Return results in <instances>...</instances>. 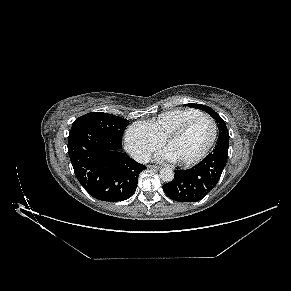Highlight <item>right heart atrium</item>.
I'll list each match as a JSON object with an SVG mask.
<instances>
[{
    "label": "right heart atrium",
    "instance_id": "1",
    "mask_svg": "<svg viewBox=\"0 0 291 291\" xmlns=\"http://www.w3.org/2000/svg\"><path fill=\"white\" fill-rule=\"evenodd\" d=\"M161 144L162 140L151 133L144 124L135 123L126 131V149L138 161L146 160Z\"/></svg>",
    "mask_w": 291,
    "mask_h": 291
}]
</instances>
